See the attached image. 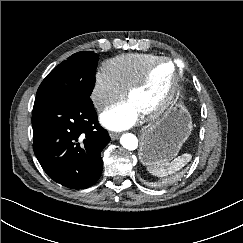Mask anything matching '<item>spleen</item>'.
Here are the masks:
<instances>
[{
	"label": "spleen",
	"instance_id": "spleen-1",
	"mask_svg": "<svg viewBox=\"0 0 243 243\" xmlns=\"http://www.w3.org/2000/svg\"><path fill=\"white\" fill-rule=\"evenodd\" d=\"M192 156L188 153L182 154L175 158L172 162L159 163L154 166L147 167L149 173L157 177H166L170 174L183 168L190 160Z\"/></svg>",
	"mask_w": 243,
	"mask_h": 243
}]
</instances>
